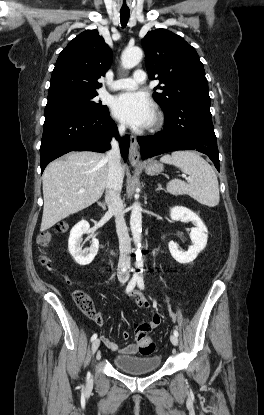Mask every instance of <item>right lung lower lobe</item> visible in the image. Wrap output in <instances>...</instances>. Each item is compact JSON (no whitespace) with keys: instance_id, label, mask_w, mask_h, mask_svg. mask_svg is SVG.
Listing matches in <instances>:
<instances>
[{"instance_id":"right-lung-lower-lobe-1","label":"right lung lower lobe","mask_w":264,"mask_h":415,"mask_svg":"<svg viewBox=\"0 0 264 415\" xmlns=\"http://www.w3.org/2000/svg\"><path fill=\"white\" fill-rule=\"evenodd\" d=\"M115 136L120 142L121 154L126 162L129 136L119 138L109 110L100 113H64L45 117L40 146L41 173L52 160L70 151L104 152L110 149Z\"/></svg>"}]
</instances>
